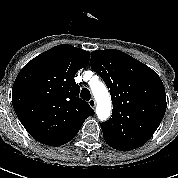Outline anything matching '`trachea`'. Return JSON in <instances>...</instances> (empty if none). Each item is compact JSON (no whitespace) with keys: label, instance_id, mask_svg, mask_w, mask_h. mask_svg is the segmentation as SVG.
Wrapping results in <instances>:
<instances>
[{"label":"trachea","instance_id":"obj_1","mask_svg":"<svg viewBox=\"0 0 178 178\" xmlns=\"http://www.w3.org/2000/svg\"><path fill=\"white\" fill-rule=\"evenodd\" d=\"M80 97H81L83 100H86V101L90 100L91 94H90L89 89L83 88V89L81 90Z\"/></svg>","mask_w":178,"mask_h":178}]
</instances>
